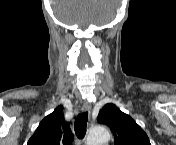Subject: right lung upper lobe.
Returning a JSON list of instances; mask_svg holds the SVG:
<instances>
[{
	"label": "right lung upper lobe",
	"instance_id": "1",
	"mask_svg": "<svg viewBox=\"0 0 176 145\" xmlns=\"http://www.w3.org/2000/svg\"><path fill=\"white\" fill-rule=\"evenodd\" d=\"M73 138L63 107L58 106L40 122L28 145H71Z\"/></svg>",
	"mask_w": 176,
	"mask_h": 145
}]
</instances>
